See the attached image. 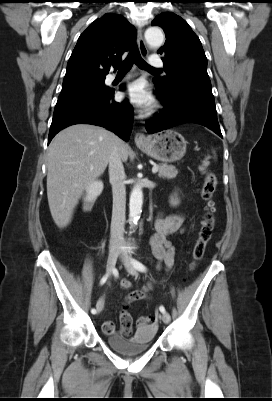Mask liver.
Instances as JSON below:
<instances>
[{"instance_id":"obj_1","label":"liver","mask_w":272,"mask_h":401,"mask_svg":"<svg viewBox=\"0 0 272 401\" xmlns=\"http://www.w3.org/2000/svg\"><path fill=\"white\" fill-rule=\"evenodd\" d=\"M114 147L127 161L128 145L102 127L76 124L54 137L47 154V198L59 228L71 222L83 191L103 174Z\"/></svg>"}]
</instances>
